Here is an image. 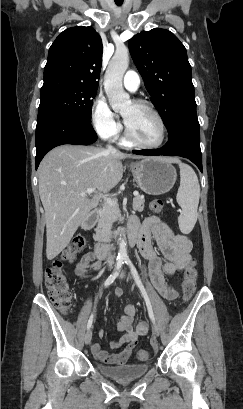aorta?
<instances>
[{
    "label": "aorta",
    "mask_w": 243,
    "mask_h": 409,
    "mask_svg": "<svg viewBox=\"0 0 243 409\" xmlns=\"http://www.w3.org/2000/svg\"><path fill=\"white\" fill-rule=\"evenodd\" d=\"M129 65L127 50L116 51L111 59L104 77V89L113 110H119L130 104V96L123 89V75ZM126 242L119 238V259L127 258Z\"/></svg>",
    "instance_id": "762f6f07"
}]
</instances>
